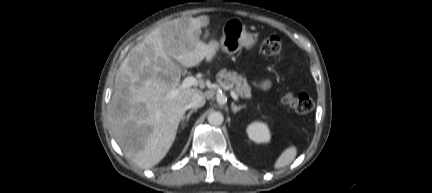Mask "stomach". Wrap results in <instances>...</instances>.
Returning a JSON list of instances; mask_svg holds the SVG:
<instances>
[{
  "mask_svg": "<svg viewBox=\"0 0 432 193\" xmlns=\"http://www.w3.org/2000/svg\"><path fill=\"white\" fill-rule=\"evenodd\" d=\"M258 41L257 33L247 32L243 22L237 18L227 20L220 40L221 48L229 54L237 53L242 47L251 49Z\"/></svg>",
  "mask_w": 432,
  "mask_h": 193,
  "instance_id": "0dacf381",
  "label": "stomach"
}]
</instances>
